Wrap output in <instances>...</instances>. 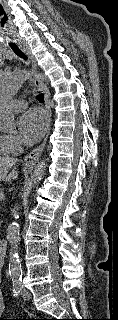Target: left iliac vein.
Wrapping results in <instances>:
<instances>
[{
	"instance_id": "1",
	"label": "left iliac vein",
	"mask_w": 118,
	"mask_h": 320,
	"mask_svg": "<svg viewBox=\"0 0 118 320\" xmlns=\"http://www.w3.org/2000/svg\"><path fill=\"white\" fill-rule=\"evenodd\" d=\"M21 296L24 300H30V293L28 290L24 287L23 284H21Z\"/></svg>"
}]
</instances>
